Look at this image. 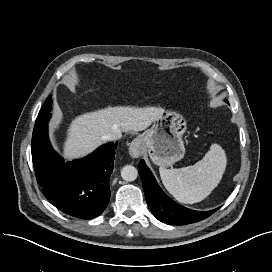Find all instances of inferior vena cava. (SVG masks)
<instances>
[{
  "instance_id": "inferior-vena-cava-1",
  "label": "inferior vena cava",
  "mask_w": 272,
  "mask_h": 272,
  "mask_svg": "<svg viewBox=\"0 0 272 272\" xmlns=\"http://www.w3.org/2000/svg\"><path fill=\"white\" fill-rule=\"evenodd\" d=\"M121 136V131L119 129H114L113 131L104 136V140L117 141L121 138Z\"/></svg>"
}]
</instances>
